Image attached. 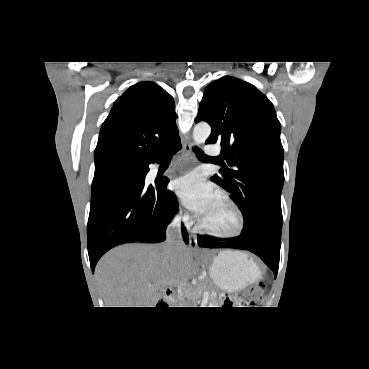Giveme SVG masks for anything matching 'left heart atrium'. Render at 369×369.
I'll return each instance as SVG.
<instances>
[{
	"label": "left heart atrium",
	"instance_id": "obj_1",
	"mask_svg": "<svg viewBox=\"0 0 369 369\" xmlns=\"http://www.w3.org/2000/svg\"><path fill=\"white\" fill-rule=\"evenodd\" d=\"M174 188L182 204L200 216L209 210L217 198L214 187L196 172L178 178Z\"/></svg>",
	"mask_w": 369,
	"mask_h": 369
}]
</instances>
